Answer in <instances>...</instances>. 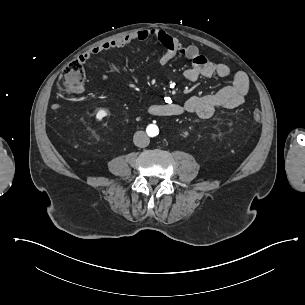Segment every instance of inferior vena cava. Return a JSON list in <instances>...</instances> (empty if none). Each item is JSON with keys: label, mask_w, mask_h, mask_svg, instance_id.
I'll return each instance as SVG.
<instances>
[{"label": "inferior vena cava", "mask_w": 305, "mask_h": 305, "mask_svg": "<svg viewBox=\"0 0 305 305\" xmlns=\"http://www.w3.org/2000/svg\"><path fill=\"white\" fill-rule=\"evenodd\" d=\"M134 145L137 147L144 148L149 145V137L144 131H137L133 137Z\"/></svg>", "instance_id": "602c4592"}]
</instances>
